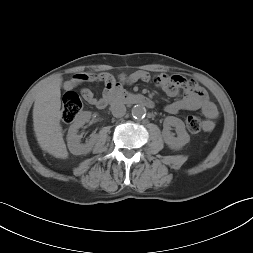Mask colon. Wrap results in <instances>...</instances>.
Wrapping results in <instances>:
<instances>
[{"instance_id": "obj_1", "label": "colon", "mask_w": 253, "mask_h": 253, "mask_svg": "<svg viewBox=\"0 0 253 253\" xmlns=\"http://www.w3.org/2000/svg\"><path fill=\"white\" fill-rule=\"evenodd\" d=\"M83 109L80 97L72 91L67 92L63 97L61 115L66 123L73 122ZM187 129L191 133H199L204 129V120L195 115L186 118Z\"/></svg>"}]
</instances>
